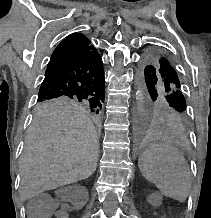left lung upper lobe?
<instances>
[{
    "label": "left lung upper lobe",
    "instance_id": "1",
    "mask_svg": "<svg viewBox=\"0 0 211 218\" xmlns=\"http://www.w3.org/2000/svg\"><path fill=\"white\" fill-rule=\"evenodd\" d=\"M141 78L145 102L140 108L144 124L156 122L183 131L187 123L182 84L168 58L156 49L143 56Z\"/></svg>",
    "mask_w": 211,
    "mask_h": 218
}]
</instances>
